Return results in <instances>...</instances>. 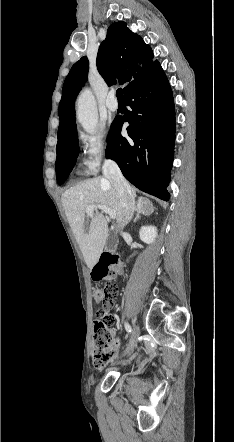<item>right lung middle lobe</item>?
<instances>
[{"mask_svg": "<svg viewBox=\"0 0 234 442\" xmlns=\"http://www.w3.org/2000/svg\"><path fill=\"white\" fill-rule=\"evenodd\" d=\"M56 152V178L58 184L61 185L72 171L79 154L77 131L65 144L56 148Z\"/></svg>", "mask_w": 234, "mask_h": 442, "instance_id": "obj_1", "label": "right lung middle lobe"}]
</instances>
